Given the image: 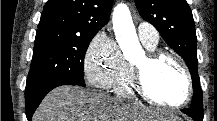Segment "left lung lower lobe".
<instances>
[{
    "mask_svg": "<svg viewBox=\"0 0 217 121\" xmlns=\"http://www.w3.org/2000/svg\"><path fill=\"white\" fill-rule=\"evenodd\" d=\"M182 112L185 113V114H187V115H189L190 117H192L194 119L193 114H192V112L189 109H183Z\"/></svg>",
    "mask_w": 217,
    "mask_h": 121,
    "instance_id": "1",
    "label": "left lung lower lobe"
}]
</instances>
